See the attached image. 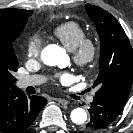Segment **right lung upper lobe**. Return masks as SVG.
Wrapping results in <instances>:
<instances>
[{"mask_svg": "<svg viewBox=\"0 0 133 133\" xmlns=\"http://www.w3.org/2000/svg\"><path fill=\"white\" fill-rule=\"evenodd\" d=\"M32 10H21V9H3L0 10V26H12L14 25L23 14H32ZM17 88L14 86L9 89L0 88V101L8 94L16 91Z\"/></svg>", "mask_w": 133, "mask_h": 133, "instance_id": "cb5924a9", "label": "right lung upper lobe"}]
</instances>
